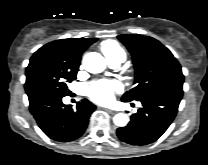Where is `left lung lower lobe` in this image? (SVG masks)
<instances>
[{"label":"left lung lower lobe","instance_id":"1","mask_svg":"<svg viewBox=\"0 0 208 165\" xmlns=\"http://www.w3.org/2000/svg\"><path fill=\"white\" fill-rule=\"evenodd\" d=\"M182 95V91L162 90L140 100L142 108L131 116L127 126L117 129L119 139L131 145L156 141L174 120Z\"/></svg>","mask_w":208,"mask_h":165}]
</instances>
